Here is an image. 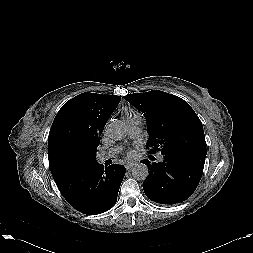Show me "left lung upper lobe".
Segmentation results:
<instances>
[{"instance_id": "1", "label": "left lung upper lobe", "mask_w": 253, "mask_h": 253, "mask_svg": "<svg viewBox=\"0 0 253 253\" xmlns=\"http://www.w3.org/2000/svg\"><path fill=\"white\" fill-rule=\"evenodd\" d=\"M124 99L145 115L147 145L153 151L207 153L202 123L185 100L159 90L127 94Z\"/></svg>"}]
</instances>
